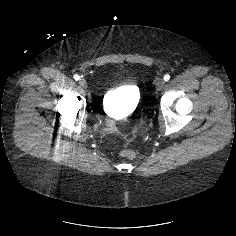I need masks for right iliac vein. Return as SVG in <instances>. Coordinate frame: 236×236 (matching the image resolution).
<instances>
[{"instance_id":"obj_1","label":"right iliac vein","mask_w":236,"mask_h":236,"mask_svg":"<svg viewBox=\"0 0 236 236\" xmlns=\"http://www.w3.org/2000/svg\"><path fill=\"white\" fill-rule=\"evenodd\" d=\"M79 84H80V86L83 87V88H86V87H87V82H86V80H84V79H80V80H79Z\"/></svg>"}]
</instances>
